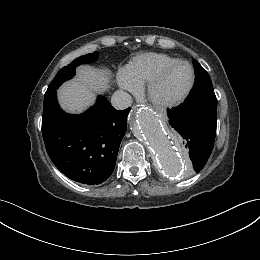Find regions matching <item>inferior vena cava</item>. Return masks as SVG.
I'll return each mask as SVG.
<instances>
[{"label":"inferior vena cava","instance_id":"inferior-vena-cava-1","mask_svg":"<svg viewBox=\"0 0 260 260\" xmlns=\"http://www.w3.org/2000/svg\"><path fill=\"white\" fill-rule=\"evenodd\" d=\"M111 104L115 109L123 110L132 104V97L127 92L117 90L111 97Z\"/></svg>","mask_w":260,"mask_h":260}]
</instances>
